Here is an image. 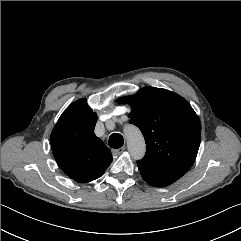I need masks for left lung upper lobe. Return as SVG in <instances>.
Instances as JSON below:
<instances>
[{
    "label": "left lung upper lobe",
    "mask_w": 241,
    "mask_h": 241,
    "mask_svg": "<svg viewBox=\"0 0 241 241\" xmlns=\"http://www.w3.org/2000/svg\"><path fill=\"white\" fill-rule=\"evenodd\" d=\"M119 101L131 104L129 122L139 127L147 144L145 157L137 161L142 177L164 185L181 178L193 165L201 140V123L188 101L154 87Z\"/></svg>",
    "instance_id": "5c2ea615"
}]
</instances>
